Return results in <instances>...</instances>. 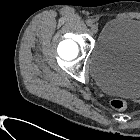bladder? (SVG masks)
<instances>
[{
	"label": "bladder",
	"mask_w": 140,
	"mask_h": 140,
	"mask_svg": "<svg viewBox=\"0 0 140 140\" xmlns=\"http://www.w3.org/2000/svg\"><path fill=\"white\" fill-rule=\"evenodd\" d=\"M89 65L103 91L140 97V20L118 17L108 21L97 37Z\"/></svg>",
	"instance_id": "31cf9c89"
}]
</instances>
